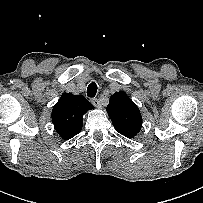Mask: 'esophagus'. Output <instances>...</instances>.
Segmentation results:
<instances>
[{
	"label": "esophagus",
	"mask_w": 203,
	"mask_h": 203,
	"mask_svg": "<svg viewBox=\"0 0 203 203\" xmlns=\"http://www.w3.org/2000/svg\"><path fill=\"white\" fill-rule=\"evenodd\" d=\"M91 103H92L95 107H97V108H100V107H101V103H100V101H99L97 98H92V99H91Z\"/></svg>",
	"instance_id": "obj_1"
}]
</instances>
